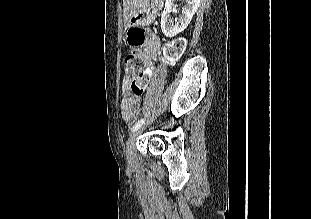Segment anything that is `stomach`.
Returning a JSON list of instances; mask_svg holds the SVG:
<instances>
[{
  "label": "stomach",
  "instance_id": "1",
  "mask_svg": "<svg viewBox=\"0 0 311 219\" xmlns=\"http://www.w3.org/2000/svg\"><path fill=\"white\" fill-rule=\"evenodd\" d=\"M158 0H138V6L133 11L128 22L130 25L148 26L156 18Z\"/></svg>",
  "mask_w": 311,
  "mask_h": 219
}]
</instances>
